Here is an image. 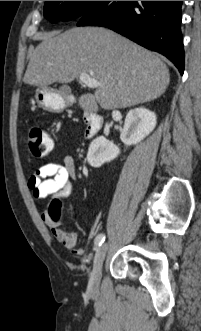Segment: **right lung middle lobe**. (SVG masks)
Returning a JSON list of instances; mask_svg holds the SVG:
<instances>
[{
  "label": "right lung middle lobe",
  "instance_id": "right-lung-middle-lobe-1",
  "mask_svg": "<svg viewBox=\"0 0 201 331\" xmlns=\"http://www.w3.org/2000/svg\"><path fill=\"white\" fill-rule=\"evenodd\" d=\"M102 1H45L44 16L54 23L60 20L80 19Z\"/></svg>",
  "mask_w": 201,
  "mask_h": 331
}]
</instances>
